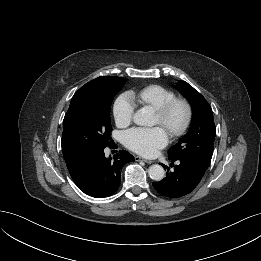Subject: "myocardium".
I'll list each match as a JSON object with an SVG mask.
<instances>
[{"label":"myocardium","instance_id":"myocardium-1","mask_svg":"<svg viewBox=\"0 0 261 261\" xmlns=\"http://www.w3.org/2000/svg\"><path fill=\"white\" fill-rule=\"evenodd\" d=\"M181 111V120L177 124L171 123L172 115L176 110ZM161 125L168 131L170 136L178 137L182 135L190 125L192 119V108L190 103L183 98H174L162 108L156 111Z\"/></svg>","mask_w":261,"mask_h":261}]
</instances>
